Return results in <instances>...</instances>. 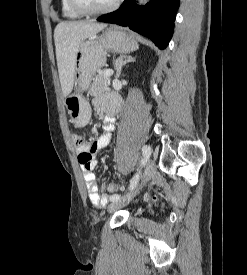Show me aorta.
<instances>
[{
	"label": "aorta",
	"instance_id": "obj_1",
	"mask_svg": "<svg viewBox=\"0 0 247 275\" xmlns=\"http://www.w3.org/2000/svg\"><path fill=\"white\" fill-rule=\"evenodd\" d=\"M140 4H145L146 2H148L149 0H138Z\"/></svg>",
	"mask_w": 247,
	"mask_h": 275
}]
</instances>
